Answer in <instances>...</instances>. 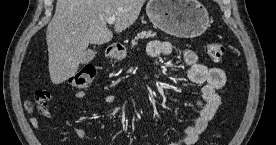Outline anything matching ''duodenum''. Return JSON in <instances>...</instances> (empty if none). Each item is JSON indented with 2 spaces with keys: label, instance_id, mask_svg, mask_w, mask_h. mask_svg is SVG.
I'll use <instances>...</instances> for the list:
<instances>
[{
  "label": "duodenum",
  "instance_id": "obj_1",
  "mask_svg": "<svg viewBox=\"0 0 276 145\" xmlns=\"http://www.w3.org/2000/svg\"><path fill=\"white\" fill-rule=\"evenodd\" d=\"M121 52H122V47L121 46H112L109 49V55L112 58L117 57Z\"/></svg>",
  "mask_w": 276,
  "mask_h": 145
}]
</instances>
